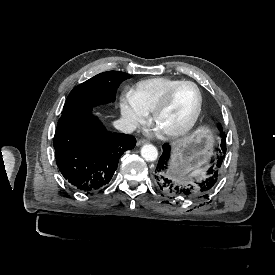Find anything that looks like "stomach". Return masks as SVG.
I'll return each instance as SVG.
<instances>
[{
  "instance_id": "stomach-1",
  "label": "stomach",
  "mask_w": 275,
  "mask_h": 275,
  "mask_svg": "<svg viewBox=\"0 0 275 275\" xmlns=\"http://www.w3.org/2000/svg\"><path fill=\"white\" fill-rule=\"evenodd\" d=\"M213 146L211 130L206 126L198 127L190 136L174 144L169 164L170 173H187L207 163L213 154Z\"/></svg>"
}]
</instances>
